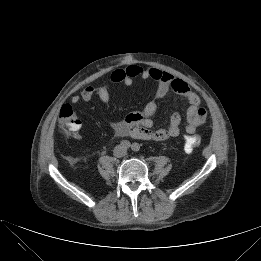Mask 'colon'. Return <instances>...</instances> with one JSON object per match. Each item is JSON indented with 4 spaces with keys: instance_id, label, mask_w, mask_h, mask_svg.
Listing matches in <instances>:
<instances>
[{
    "instance_id": "obj_1",
    "label": "colon",
    "mask_w": 261,
    "mask_h": 261,
    "mask_svg": "<svg viewBox=\"0 0 261 261\" xmlns=\"http://www.w3.org/2000/svg\"><path fill=\"white\" fill-rule=\"evenodd\" d=\"M58 124L61 131L71 135L74 134L80 127V121L76 117L72 107L65 104L59 111ZM201 143V138L198 135L189 134L184 137V150L191 152Z\"/></svg>"
}]
</instances>
